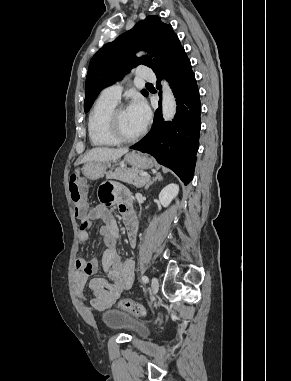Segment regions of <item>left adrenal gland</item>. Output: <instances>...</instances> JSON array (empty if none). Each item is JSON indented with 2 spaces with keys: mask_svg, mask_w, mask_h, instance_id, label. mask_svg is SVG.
Instances as JSON below:
<instances>
[{
  "mask_svg": "<svg viewBox=\"0 0 291 381\" xmlns=\"http://www.w3.org/2000/svg\"><path fill=\"white\" fill-rule=\"evenodd\" d=\"M162 181L163 180V177L161 175V173H156L155 177H153L151 180H148L146 183H145V190H148L149 187L155 182V181Z\"/></svg>",
  "mask_w": 291,
  "mask_h": 381,
  "instance_id": "obj_1",
  "label": "left adrenal gland"
}]
</instances>
